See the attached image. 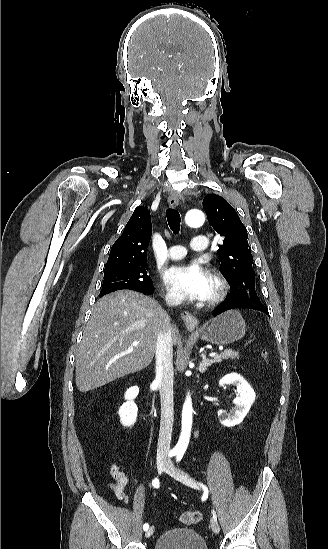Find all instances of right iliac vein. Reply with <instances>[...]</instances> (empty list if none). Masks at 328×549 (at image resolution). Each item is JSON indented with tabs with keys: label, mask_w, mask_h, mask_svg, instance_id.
Masks as SVG:
<instances>
[{
	"label": "right iliac vein",
	"mask_w": 328,
	"mask_h": 549,
	"mask_svg": "<svg viewBox=\"0 0 328 549\" xmlns=\"http://www.w3.org/2000/svg\"><path fill=\"white\" fill-rule=\"evenodd\" d=\"M166 463L164 460H159V463L157 464V469H158V472L159 473H162L164 471V467H165ZM154 533V526H151L150 528H148V530L146 531L145 533V537L146 538H149L153 535Z\"/></svg>",
	"instance_id": "obj_1"
}]
</instances>
